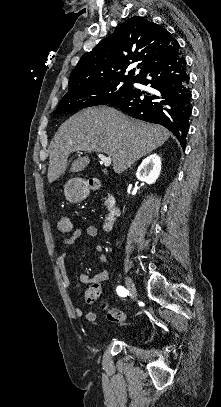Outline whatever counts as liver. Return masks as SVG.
<instances>
[{
    "label": "liver",
    "instance_id": "6515ba94",
    "mask_svg": "<svg viewBox=\"0 0 221 407\" xmlns=\"http://www.w3.org/2000/svg\"><path fill=\"white\" fill-rule=\"evenodd\" d=\"M170 132L160 126L131 119L110 107L84 109L67 119L50 143L48 182L65 173L73 152H101L112 158L113 170L120 174L135 161L161 146ZM90 163L88 156L74 160L69 172H79Z\"/></svg>",
    "mask_w": 221,
    "mask_h": 407
}]
</instances>
